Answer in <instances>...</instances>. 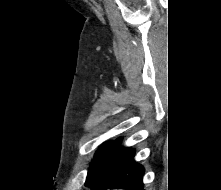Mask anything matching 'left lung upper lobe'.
I'll return each mask as SVG.
<instances>
[{
  "label": "left lung upper lobe",
  "instance_id": "1",
  "mask_svg": "<svg viewBox=\"0 0 221 190\" xmlns=\"http://www.w3.org/2000/svg\"><path fill=\"white\" fill-rule=\"evenodd\" d=\"M111 143L110 142H106L104 144H102L98 151L95 153V156H94V159H93V162L89 168V172L88 174L92 171V169L94 168L96 162L100 159L101 155L103 154V152L107 149V147L110 145Z\"/></svg>",
  "mask_w": 221,
  "mask_h": 190
}]
</instances>
